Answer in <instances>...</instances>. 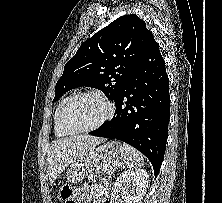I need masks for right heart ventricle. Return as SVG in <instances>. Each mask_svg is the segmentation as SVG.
Segmentation results:
<instances>
[{
  "label": "right heart ventricle",
  "instance_id": "1",
  "mask_svg": "<svg viewBox=\"0 0 222 203\" xmlns=\"http://www.w3.org/2000/svg\"><path fill=\"white\" fill-rule=\"evenodd\" d=\"M68 98L69 97H65L59 102V104L56 107L55 113H54V118H53L54 132H55V135L58 137H65V136H68L71 134V132L65 130L60 124V112H61V109H62L64 103L66 102V100Z\"/></svg>",
  "mask_w": 222,
  "mask_h": 203
}]
</instances>
